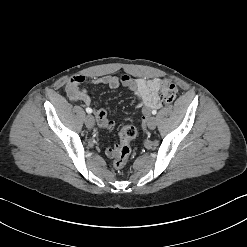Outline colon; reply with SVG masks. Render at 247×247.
Masks as SVG:
<instances>
[{"label": "colon", "mask_w": 247, "mask_h": 247, "mask_svg": "<svg viewBox=\"0 0 247 247\" xmlns=\"http://www.w3.org/2000/svg\"><path fill=\"white\" fill-rule=\"evenodd\" d=\"M161 95L166 103H172L177 96L176 86L169 80H162ZM137 135V130L132 125L124 126L119 132V143L114 147L113 166L117 170H122L131 154V142Z\"/></svg>", "instance_id": "5ec220e1"}]
</instances>
